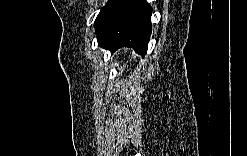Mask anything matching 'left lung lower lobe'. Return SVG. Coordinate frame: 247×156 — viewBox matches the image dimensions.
Here are the masks:
<instances>
[{
	"instance_id": "0a47b994",
	"label": "left lung lower lobe",
	"mask_w": 247,
	"mask_h": 156,
	"mask_svg": "<svg viewBox=\"0 0 247 156\" xmlns=\"http://www.w3.org/2000/svg\"><path fill=\"white\" fill-rule=\"evenodd\" d=\"M151 13L146 0H109L94 24L98 45L111 52L129 47L144 56L152 31Z\"/></svg>"
}]
</instances>
